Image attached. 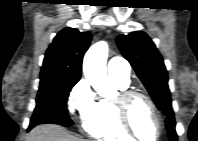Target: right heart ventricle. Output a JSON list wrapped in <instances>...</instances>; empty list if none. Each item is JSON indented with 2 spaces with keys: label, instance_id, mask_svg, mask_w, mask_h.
Wrapping results in <instances>:
<instances>
[{
  "label": "right heart ventricle",
  "instance_id": "obj_1",
  "mask_svg": "<svg viewBox=\"0 0 198 141\" xmlns=\"http://www.w3.org/2000/svg\"><path fill=\"white\" fill-rule=\"evenodd\" d=\"M120 89H127L129 83L112 81ZM85 131L91 136L106 141H130L132 137L125 132L116 115L113 101H96L93 112L84 122Z\"/></svg>",
  "mask_w": 198,
  "mask_h": 141
}]
</instances>
